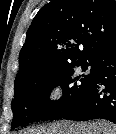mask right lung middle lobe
I'll list each match as a JSON object with an SVG mask.
<instances>
[{
	"label": "right lung middle lobe",
	"instance_id": "dd1d6c3e",
	"mask_svg": "<svg viewBox=\"0 0 116 134\" xmlns=\"http://www.w3.org/2000/svg\"><path fill=\"white\" fill-rule=\"evenodd\" d=\"M75 66H81L82 71H86L90 66L91 74L75 77L73 69ZM93 76L92 63L83 61L67 66L47 78L28 85L14 95L11 128L15 129L34 120L53 118L62 113L67 106L79 100ZM58 84L63 91L62 98L57 101L49 100L50 92Z\"/></svg>",
	"mask_w": 116,
	"mask_h": 134
}]
</instances>
